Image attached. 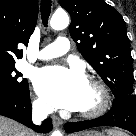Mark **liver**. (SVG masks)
<instances>
[{
  "label": "liver",
  "mask_w": 136,
  "mask_h": 136,
  "mask_svg": "<svg viewBox=\"0 0 136 136\" xmlns=\"http://www.w3.org/2000/svg\"><path fill=\"white\" fill-rule=\"evenodd\" d=\"M0 136H30L28 130L21 124L0 116Z\"/></svg>",
  "instance_id": "1"
}]
</instances>
